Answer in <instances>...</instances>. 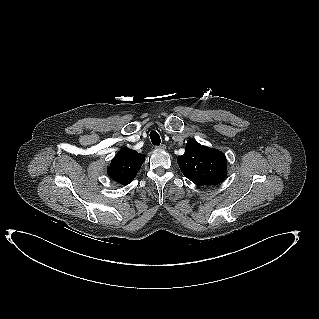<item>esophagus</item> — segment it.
Wrapping results in <instances>:
<instances>
[{
    "label": "esophagus",
    "instance_id": "esophagus-1",
    "mask_svg": "<svg viewBox=\"0 0 319 319\" xmlns=\"http://www.w3.org/2000/svg\"><path fill=\"white\" fill-rule=\"evenodd\" d=\"M156 148L164 150L166 149V145L165 144H160L159 146H157Z\"/></svg>",
    "mask_w": 319,
    "mask_h": 319
}]
</instances>
